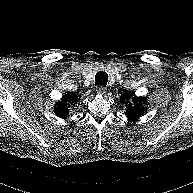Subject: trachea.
Here are the masks:
<instances>
[{"label":"trachea","mask_w":193,"mask_h":193,"mask_svg":"<svg viewBox=\"0 0 193 193\" xmlns=\"http://www.w3.org/2000/svg\"><path fill=\"white\" fill-rule=\"evenodd\" d=\"M108 81V75L106 72L100 71L95 75V84L106 86Z\"/></svg>","instance_id":"3493384b"}]
</instances>
